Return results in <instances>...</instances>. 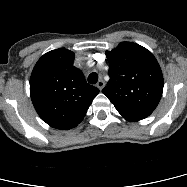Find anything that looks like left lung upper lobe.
Returning <instances> with one entry per match:
<instances>
[{
    "instance_id": "5c2ea615",
    "label": "left lung upper lobe",
    "mask_w": 187,
    "mask_h": 187,
    "mask_svg": "<svg viewBox=\"0 0 187 187\" xmlns=\"http://www.w3.org/2000/svg\"><path fill=\"white\" fill-rule=\"evenodd\" d=\"M106 56L110 80L102 92L127 121L148 117L163 92V75L154 55L138 44L122 42Z\"/></svg>"
}]
</instances>
